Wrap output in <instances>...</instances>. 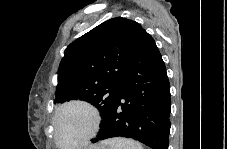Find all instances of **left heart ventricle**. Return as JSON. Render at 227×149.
Returning <instances> with one entry per match:
<instances>
[{
	"mask_svg": "<svg viewBox=\"0 0 227 149\" xmlns=\"http://www.w3.org/2000/svg\"><path fill=\"white\" fill-rule=\"evenodd\" d=\"M92 118L83 107H70L58 119V138L62 144L80 141L90 130Z\"/></svg>",
	"mask_w": 227,
	"mask_h": 149,
	"instance_id": "1",
	"label": "left heart ventricle"
}]
</instances>
